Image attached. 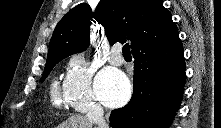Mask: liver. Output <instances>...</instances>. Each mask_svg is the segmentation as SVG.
Masks as SVG:
<instances>
[{
    "instance_id": "liver-1",
    "label": "liver",
    "mask_w": 221,
    "mask_h": 128,
    "mask_svg": "<svg viewBox=\"0 0 221 128\" xmlns=\"http://www.w3.org/2000/svg\"><path fill=\"white\" fill-rule=\"evenodd\" d=\"M58 128H93V123L86 116L75 114L68 117Z\"/></svg>"
}]
</instances>
